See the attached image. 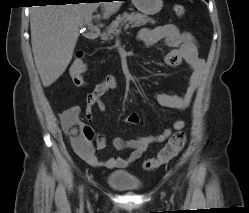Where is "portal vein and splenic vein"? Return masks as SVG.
<instances>
[{
    "instance_id": "1",
    "label": "portal vein and splenic vein",
    "mask_w": 249,
    "mask_h": 213,
    "mask_svg": "<svg viewBox=\"0 0 249 213\" xmlns=\"http://www.w3.org/2000/svg\"><path fill=\"white\" fill-rule=\"evenodd\" d=\"M84 23L87 25H91L92 24V16L86 17V19L84 20Z\"/></svg>"
}]
</instances>
